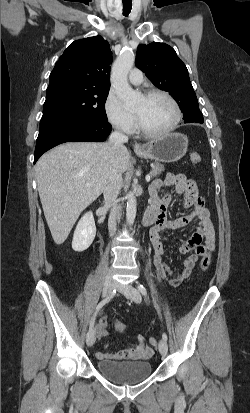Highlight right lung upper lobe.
I'll list each match as a JSON object with an SVG mask.
<instances>
[{
    "instance_id": "cb5924a9",
    "label": "right lung upper lobe",
    "mask_w": 250,
    "mask_h": 413,
    "mask_svg": "<svg viewBox=\"0 0 250 413\" xmlns=\"http://www.w3.org/2000/svg\"><path fill=\"white\" fill-rule=\"evenodd\" d=\"M112 59L109 43L101 36L74 41L56 62L47 90L62 85L109 90Z\"/></svg>"
}]
</instances>
